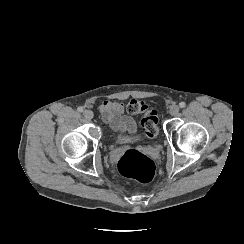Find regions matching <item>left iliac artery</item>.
Listing matches in <instances>:
<instances>
[{
    "mask_svg": "<svg viewBox=\"0 0 244 244\" xmlns=\"http://www.w3.org/2000/svg\"><path fill=\"white\" fill-rule=\"evenodd\" d=\"M179 106H180L181 108H184V107L186 106V104H185V102H180V103H179Z\"/></svg>",
    "mask_w": 244,
    "mask_h": 244,
    "instance_id": "obj_1",
    "label": "left iliac artery"
}]
</instances>
